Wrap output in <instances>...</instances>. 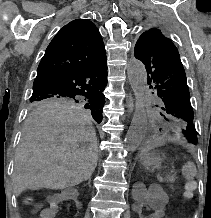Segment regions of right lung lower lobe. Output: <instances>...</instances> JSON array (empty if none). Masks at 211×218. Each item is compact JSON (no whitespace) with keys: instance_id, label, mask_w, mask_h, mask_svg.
<instances>
[{"instance_id":"right-lung-lower-lobe-1","label":"right lung lower lobe","mask_w":211,"mask_h":218,"mask_svg":"<svg viewBox=\"0 0 211 218\" xmlns=\"http://www.w3.org/2000/svg\"><path fill=\"white\" fill-rule=\"evenodd\" d=\"M107 85V60L58 76L33 88L32 98L103 97Z\"/></svg>"}]
</instances>
